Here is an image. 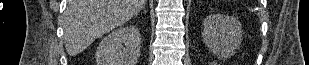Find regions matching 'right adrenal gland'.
Listing matches in <instances>:
<instances>
[{
	"label": "right adrenal gland",
	"mask_w": 309,
	"mask_h": 65,
	"mask_svg": "<svg viewBox=\"0 0 309 65\" xmlns=\"http://www.w3.org/2000/svg\"><path fill=\"white\" fill-rule=\"evenodd\" d=\"M143 11H144V14H146V8L145 7L143 8Z\"/></svg>",
	"instance_id": "right-adrenal-gland-1"
}]
</instances>
